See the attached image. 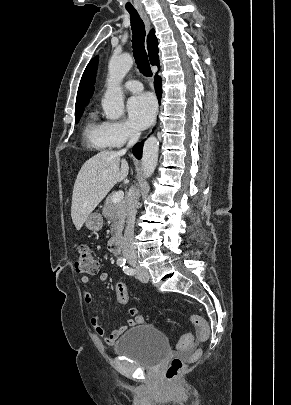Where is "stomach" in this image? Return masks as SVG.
I'll return each instance as SVG.
<instances>
[{
	"mask_svg": "<svg viewBox=\"0 0 291 405\" xmlns=\"http://www.w3.org/2000/svg\"><path fill=\"white\" fill-rule=\"evenodd\" d=\"M85 226L92 231H99L103 226L102 215L98 212L91 213L85 221Z\"/></svg>",
	"mask_w": 291,
	"mask_h": 405,
	"instance_id": "stomach-1",
	"label": "stomach"
}]
</instances>
